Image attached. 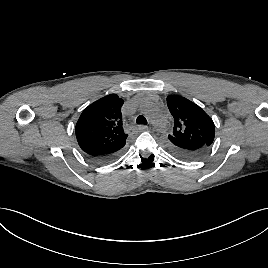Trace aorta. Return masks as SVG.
Masks as SVG:
<instances>
[{
	"label": "aorta",
	"instance_id": "aorta-1",
	"mask_svg": "<svg viewBox=\"0 0 268 268\" xmlns=\"http://www.w3.org/2000/svg\"><path fill=\"white\" fill-rule=\"evenodd\" d=\"M140 111L145 114L155 128L163 130L166 127V119L157 104L149 98H141L139 102Z\"/></svg>",
	"mask_w": 268,
	"mask_h": 268
}]
</instances>
